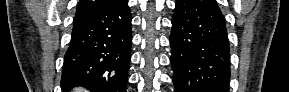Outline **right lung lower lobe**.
Returning a JSON list of instances; mask_svg holds the SVG:
<instances>
[{"mask_svg": "<svg viewBox=\"0 0 289 92\" xmlns=\"http://www.w3.org/2000/svg\"><path fill=\"white\" fill-rule=\"evenodd\" d=\"M131 41L127 0L76 14L64 56L62 92L74 86H84L91 92H126Z\"/></svg>", "mask_w": 289, "mask_h": 92, "instance_id": "obj_1", "label": "right lung lower lobe"}]
</instances>
